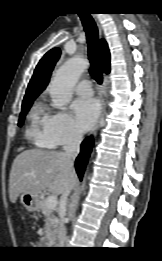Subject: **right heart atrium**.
<instances>
[{
  "mask_svg": "<svg viewBox=\"0 0 162 261\" xmlns=\"http://www.w3.org/2000/svg\"><path fill=\"white\" fill-rule=\"evenodd\" d=\"M42 135L52 147L72 146L81 139V133L74 125L71 116L63 110L47 115Z\"/></svg>",
  "mask_w": 162,
  "mask_h": 261,
  "instance_id": "obj_1",
  "label": "right heart atrium"
}]
</instances>
